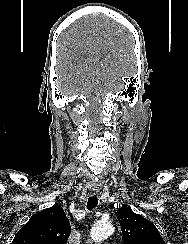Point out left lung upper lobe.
Returning <instances> with one entry per match:
<instances>
[{"instance_id": "obj_1", "label": "left lung upper lobe", "mask_w": 188, "mask_h": 244, "mask_svg": "<svg viewBox=\"0 0 188 244\" xmlns=\"http://www.w3.org/2000/svg\"><path fill=\"white\" fill-rule=\"evenodd\" d=\"M116 215L124 244H165L155 225L129 207L119 208Z\"/></svg>"}]
</instances>
